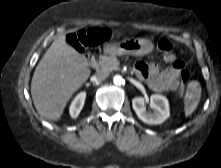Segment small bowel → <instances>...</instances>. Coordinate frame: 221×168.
Returning <instances> with one entry per match:
<instances>
[{"label":"small bowel","instance_id":"1","mask_svg":"<svg viewBox=\"0 0 221 168\" xmlns=\"http://www.w3.org/2000/svg\"><path fill=\"white\" fill-rule=\"evenodd\" d=\"M164 60L170 66L161 70L158 63L139 61L134 70L154 91H175L179 87V76L185 72V65L172 53H166Z\"/></svg>","mask_w":221,"mask_h":168}]
</instances>
